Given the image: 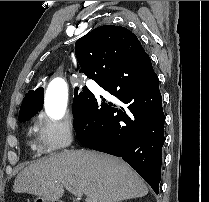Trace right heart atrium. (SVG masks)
Here are the masks:
<instances>
[{
    "label": "right heart atrium",
    "instance_id": "d8ad5b80",
    "mask_svg": "<svg viewBox=\"0 0 209 202\" xmlns=\"http://www.w3.org/2000/svg\"><path fill=\"white\" fill-rule=\"evenodd\" d=\"M74 132L71 120H52L40 115L35 124L36 147L44 153L57 152L72 143Z\"/></svg>",
    "mask_w": 209,
    "mask_h": 202
}]
</instances>
